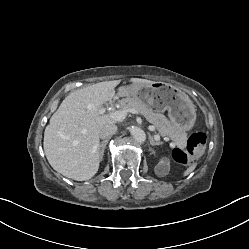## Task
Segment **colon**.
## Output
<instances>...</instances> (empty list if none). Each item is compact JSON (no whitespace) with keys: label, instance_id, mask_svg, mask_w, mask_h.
<instances>
[{"label":"colon","instance_id":"5ec220e1","mask_svg":"<svg viewBox=\"0 0 249 249\" xmlns=\"http://www.w3.org/2000/svg\"><path fill=\"white\" fill-rule=\"evenodd\" d=\"M206 140V135L203 132L192 134L187 143V152L175 149L172 153L173 159L183 165L189 164L191 161L190 156L197 157L204 152Z\"/></svg>","mask_w":249,"mask_h":249}]
</instances>
